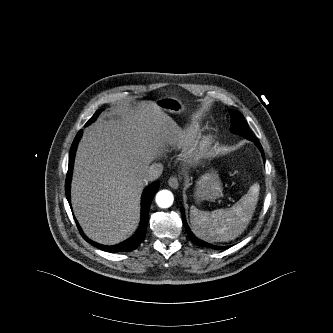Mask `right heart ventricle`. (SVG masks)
<instances>
[{"label": "right heart ventricle", "instance_id": "right-heart-ventricle-1", "mask_svg": "<svg viewBox=\"0 0 333 333\" xmlns=\"http://www.w3.org/2000/svg\"><path fill=\"white\" fill-rule=\"evenodd\" d=\"M200 128L201 126L199 123H190L177 128L169 135L167 143L171 148L185 149L196 139Z\"/></svg>", "mask_w": 333, "mask_h": 333}]
</instances>
